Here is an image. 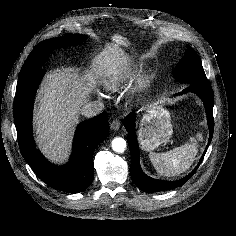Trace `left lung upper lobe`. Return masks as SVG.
<instances>
[{
    "label": "left lung upper lobe",
    "mask_w": 236,
    "mask_h": 236,
    "mask_svg": "<svg viewBox=\"0 0 236 236\" xmlns=\"http://www.w3.org/2000/svg\"><path fill=\"white\" fill-rule=\"evenodd\" d=\"M174 77L178 82L189 84L208 81L199 55L189 45L187 46L185 56L175 68Z\"/></svg>",
    "instance_id": "left-lung-upper-lobe-1"
}]
</instances>
